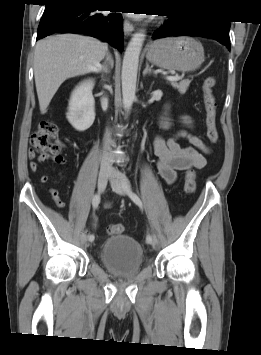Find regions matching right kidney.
Instances as JSON below:
<instances>
[{"mask_svg":"<svg viewBox=\"0 0 261 355\" xmlns=\"http://www.w3.org/2000/svg\"><path fill=\"white\" fill-rule=\"evenodd\" d=\"M93 87L94 81L86 80L80 83L71 94L66 117L77 131L87 130L95 120Z\"/></svg>","mask_w":261,"mask_h":355,"instance_id":"right-kidney-1","label":"right kidney"}]
</instances>
